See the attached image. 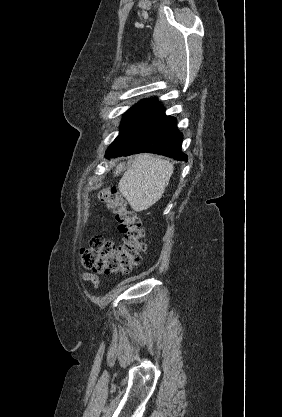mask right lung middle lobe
Listing matches in <instances>:
<instances>
[{
	"label": "right lung middle lobe",
	"mask_w": 282,
	"mask_h": 417,
	"mask_svg": "<svg viewBox=\"0 0 282 417\" xmlns=\"http://www.w3.org/2000/svg\"><path fill=\"white\" fill-rule=\"evenodd\" d=\"M155 102L156 99L142 100L133 106L123 118L121 131L139 119Z\"/></svg>",
	"instance_id": "right-lung-middle-lobe-1"
}]
</instances>
